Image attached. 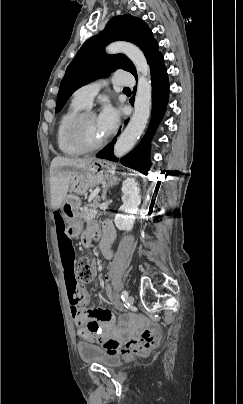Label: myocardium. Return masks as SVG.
I'll return each mask as SVG.
<instances>
[{"label": "myocardium", "instance_id": "obj_1", "mask_svg": "<svg viewBox=\"0 0 243 404\" xmlns=\"http://www.w3.org/2000/svg\"><path fill=\"white\" fill-rule=\"evenodd\" d=\"M89 116H96L95 112L90 109H84L77 113L67 124L65 128L66 138L79 147L80 149L86 152H92L97 149L102 148L106 144V139L99 141L96 144H88L86 143L79 135L78 128L83 120Z\"/></svg>", "mask_w": 243, "mask_h": 404}]
</instances>
